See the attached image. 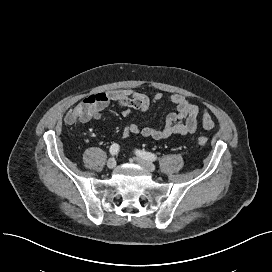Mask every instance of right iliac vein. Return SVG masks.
Returning a JSON list of instances; mask_svg holds the SVG:
<instances>
[{"instance_id":"1","label":"right iliac vein","mask_w":272,"mask_h":272,"mask_svg":"<svg viewBox=\"0 0 272 272\" xmlns=\"http://www.w3.org/2000/svg\"><path fill=\"white\" fill-rule=\"evenodd\" d=\"M107 167L109 169H114L116 167V159L115 158H110L108 161H107Z\"/></svg>"}]
</instances>
